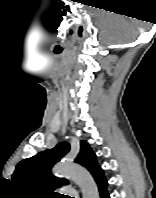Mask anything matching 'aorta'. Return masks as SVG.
<instances>
[{"instance_id": "1", "label": "aorta", "mask_w": 156, "mask_h": 198, "mask_svg": "<svg viewBox=\"0 0 156 198\" xmlns=\"http://www.w3.org/2000/svg\"><path fill=\"white\" fill-rule=\"evenodd\" d=\"M53 173L70 177L81 189L83 198H99L98 187L85 168L76 164L59 163L54 166Z\"/></svg>"}]
</instances>
